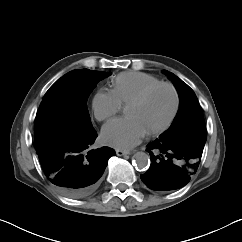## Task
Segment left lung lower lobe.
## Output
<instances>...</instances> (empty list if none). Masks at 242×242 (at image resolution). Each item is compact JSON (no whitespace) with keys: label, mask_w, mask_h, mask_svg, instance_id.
<instances>
[{"label":"left lung lower lobe","mask_w":242,"mask_h":242,"mask_svg":"<svg viewBox=\"0 0 242 242\" xmlns=\"http://www.w3.org/2000/svg\"><path fill=\"white\" fill-rule=\"evenodd\" d=\"M204 144L172 143L156 139L146 149L152 161L149 170L140 176L154 191H171L184 187L196 173Z\"/></svg>","instance_id":"left-lung-lower-lobe-1"}]
</instances>
